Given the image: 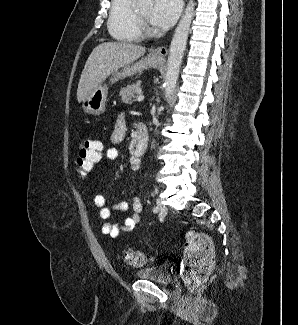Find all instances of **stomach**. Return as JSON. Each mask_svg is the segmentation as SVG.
<instances>
[{"instance_id": "stomach-1", "label": "stomach", "mask_w": 298, "mask_h": 325, "mask_svg": "<svg viewBox=\"0 0 298 325\" xmlns=\"http://www.w3.org/2000/svg\"><path fill=\"white\" fill-rule=\"evenodd\" d=\"M165 62V58H156L152 54L142 56L136 62L126 64L121 70H116L111 76H109L107 82L99 84L98 88H95L91 94H87L86 98L82 100L81 106L84 112L87 114H102L106 108V102L109 94V86L122 80V78H132L135 74H139L142 70H149V68H158L160 64Z\"/></svg>"}]
</instances>
